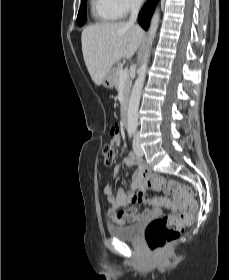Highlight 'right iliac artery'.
Masks as SVG:
<instances>
[{"label": "right iliac artery", "instance_id": "right-iliac-artery-1", "mask_svg": "<svg viewBox=\"0 0 229 280\" xmlns=\"http://www.w3.org/2000/svg\"><path fill=\"white\" fill-rule=\"evenodd\" d=\"M133 133H134V131H133V130H129V131H128V135H129V137H130V138H132Z\"/></svg>", "mask_w": 229, "mask_h": 280}]
</instances>
